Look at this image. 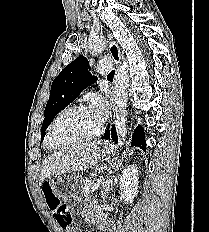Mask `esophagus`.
Returning <instances> with one entry per match:
<instances>
[{
    "mask_svg": "<svg viewBox=\"0 0 209 232\" xmlns=\"http://www.w3.org/2000/svg\"><path fill=\"white\" fill-rule=\"evenodd\" d=\"M108 40H109V45H108V49H109V53L111 54L115 64L117 66H119L120 63V50L117 46V44L111 40L110 36L107 34Z\"/></svg>",
    "mask_w": 209,
    "mask_h": 232,
    "instance_id": "obj_1",
    "label": "esophagus"
}]
</instances>
